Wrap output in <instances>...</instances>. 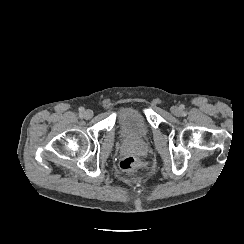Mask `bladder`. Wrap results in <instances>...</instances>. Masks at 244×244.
Segmentation results:
<instances>
[{
	"mask_svg": "<svg viewBox=\"0 0 244 244\" xmlns=\"http://www.w3.org/2000/svg\"><path fill=\"white\" fill-rule=\"evenodd\" d=\"M121 119V132L127 141H138L148 136V125L143 115L132 107H125L118 112Z\"/></svg>",
	"mask_w": 244,
	"mask_h": 244,
	"instance_id": "obj_1",
	"label": "bladder"
}]
</instances>
